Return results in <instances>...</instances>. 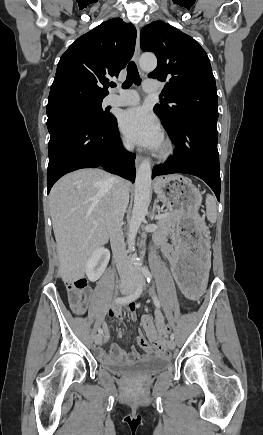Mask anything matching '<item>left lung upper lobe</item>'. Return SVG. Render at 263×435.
I'll return each instance as SVG.
<instances>
[{
	"instance_id": "left-lung-upper-lobe-1",
	"label": "left lung upper lobe",
	"mask_w": 263,
	"mask_h": 435,
	"mask_svg": "<svg viewBox=\"0 0 263 435\" xmlns=\"http://www.w3.org/2000/svg\"><path fill=\"white\" fill-rule=\"evenodd\" d=\"M142 51L153 52L158 60L149 78L166 82L162 100L154 107L166 129L191 118L218 119L215 78L204 49L189 35L162 21L140 32Z\"/></svg>"
}]
</instances>
